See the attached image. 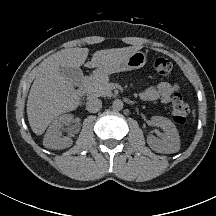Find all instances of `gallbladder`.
<instances>
[{
    "mask_svg": "<svg viewBox=\"0 0 216 216\" xmlns=\"http://www.w3.org/2000/svg\"><path fill=\"white\" fill-rule=\"evenodd\" d=\"M60 74L74 86H79L83 80V72L80 68L60 67Z\"/></svg>",
    "mask_w": 216,
    "mask_h": 216,
    "instance_id": "1",
    "label": "gallbladder"
}]
</instances>
